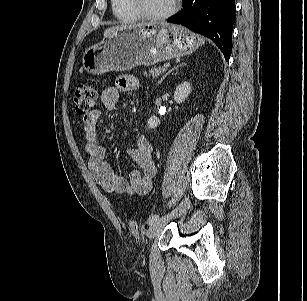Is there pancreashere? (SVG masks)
I'll list each match as a JSON object with an SVG mask.
<instances>
[{"label":"pancreas","instance_id":"cf45deb5","mask_svg":"<svg viewBox=\"0 0 307 301\" xmlns=\"http://www.w3.org/2000/svg\"><path fill=\"white\" fill-rule=\"evenodd\" d=\"M166 71V69L164 67L158 66V67H154L151 70H149V74L146 76H151L153 79L158 77L161 73H164Z\"/></svg>","mask_w":307,"mask_h":301}]
</instances>
